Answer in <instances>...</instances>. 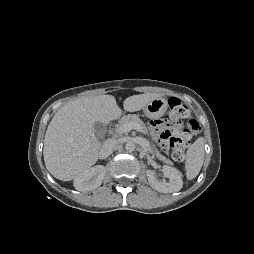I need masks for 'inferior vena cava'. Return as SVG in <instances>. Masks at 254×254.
Here are the masks:
<instances>
[{"label":"inferior vena cava","instance_id":"obj_1","mask_svg":"<svg viewBox=\"0 0 254 254\" xmlns=\"http://www.w3.org/2000/svg\"><path fill=\"white\" fill-rule=\"evenodd\" d=\"M117 144H118V142L115 139L106 140L102 145V148L100 151L101 155L103 157H107L110 154H112L113 151L117 148Z\"/></svg>","mask_w":254,"mask_h":254}]
</instances>
